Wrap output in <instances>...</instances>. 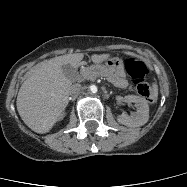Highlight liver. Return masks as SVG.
I'll return each mask as SVG.
<instances>
[{"mask_svg": "<svg viewBox=\"0 0 187 187\" xmlns=\"http://www.w3.org/2000/svg\"><path fill=\"white\" fill-rule=\"evenodd\" d=\"M110 54H93L91 60L100 64ZM83 53L67 54L43 61L35 66L21 85L17 95V110L23 122L34 132L47 133L68 105L72 82L62 66L78 68Z\"/></svg>", "mask_w": 187, "mask_h": 187, "instance_id": "1", "label": "liver"}]
</instances>
